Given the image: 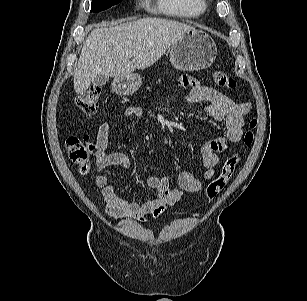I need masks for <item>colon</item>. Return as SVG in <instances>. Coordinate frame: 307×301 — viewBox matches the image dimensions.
<instances>
[{
  "mask_svg": "<svg viewBox=\"0 0 307 301\" xmlns=\"http://www.w3.org/2000/svg\"><path fill=\"white\" fill-rule=\"evenodd\" d=\"M213 78L216 84L223 88L231 89L236 85L235 79L230 74L221 70L215 71ZM100 100L99 88L92 87L77 96L76 105L85 116L90 117L97 112ZM256 125L257 121L255 119L251 120L249 130L244 136V143L247 146L253 142V130ZM66 146L70 159L78 166L80 172L84 173L88 168L95 146L85 137H70L66 141ZM239 163L240 157L237 154L225 160L219 175L210 181L205 189V196L209 201H213L220 194Z\"/></svg>",
  "mask_w": 307,
  "mask_h": 301,
  "instance_id": "5ec220e1",
  "label": "colon"
}]
</instances>
